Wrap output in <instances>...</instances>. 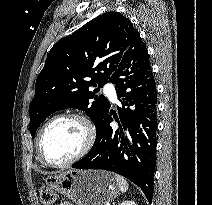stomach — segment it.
I'll return each instance as SVG.
<instances>
[{
  "instance_id": "stomach-1",
  "label": "stomach",
  "mask_w": 212,
  "mask_h": 205,
  "mask_svg": "<svg viewBox=\"0 0 212 205\" xmlns=\"http://www.w3.org/2000/svg\"><path fill=\"white\" fill-rule=\"evenodd\" d=\"M45 181L76 205H105L119 194L114 174L103 170H67Z\"/></svg>"
}]
</instances>
